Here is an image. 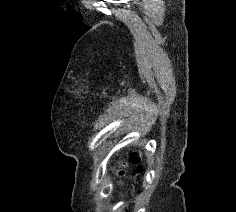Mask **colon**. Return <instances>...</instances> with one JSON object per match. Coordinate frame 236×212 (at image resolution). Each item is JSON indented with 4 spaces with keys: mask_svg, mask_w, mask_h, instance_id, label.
<instances>
[{
    "mask_svg": "<svg viewBox=\"0 0 236 212\" xmlns=\"http://www.w3.org/2000/svg\"><path fill=\"white\" fill-rule=\"evenodd\" d=\"M143 159V153L139 148H133L130 154V161L134 164H138V172L143 170V166L141 165V161ZM117 175L121 176L123 174L122 168H118L116 170Z\"/></svg>",
    "mask_w": 236,
    "mask_h": 212,
    "instance_id": "obj_1",
    "label": "colon"
}]
</instances>
